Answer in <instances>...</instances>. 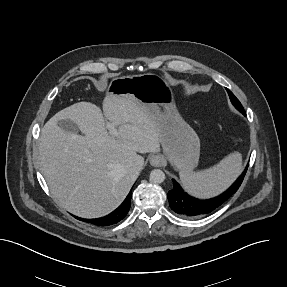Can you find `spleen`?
Listing matches in <instances>:
<instances>
[{"label": "spleen", "mask_w": 287, "mask_h": 287, "mask_svg": "<svg viewBox=\"0 0 287 287\" xmlns=\"http://www.w3.org/2000/svg\"><path fill=\"white\" fill-rule=\"evenodd\" d=\"M241 171L242 155L239 152H233L208 169L180 172V179L184 188L193 196L210 198L225 191Z\"/></svg>", "instance_id": "obj_1"}]
</instances>
